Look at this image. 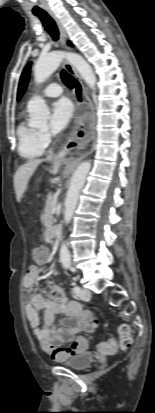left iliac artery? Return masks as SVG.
<instances>
[{
  "label": "left iliac artery",
  "mask_w": 155,
  "mask_h": 413,
  "mask_svg": "<svg viewBox=\"0 0 155 413\" xmlns=\"http://www.w3.org/2000/svg\"><path fill=\"white\" fill-rule=\"evenodd\" d=\"M80 287L79 286H75L74 288H73V292L75 293V294H79L80 293Z\"/></svg>",
  "instance_id": "44dca946"
}]
</instances>
